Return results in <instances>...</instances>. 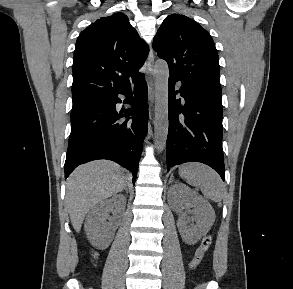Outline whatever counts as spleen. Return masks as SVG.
<instances>
[{
  "label": "spleen",
  "instance_id": "spleen-1",
  "mask_svg": "<svg viewBox=\"0 0 293 289\" xmlns=\"http://www.w3.org/2000/svg\"><path fill=\"white\" fill-rule=\"evenodd\" d=\"M179 173L190 185L200 188L206 198L214 202L222 200L225 186L220 176L208 166L191 162L182 165Z\"/></svg>",
  "mask_w": 293,
  "mask_h": 289
}]
</instances>
